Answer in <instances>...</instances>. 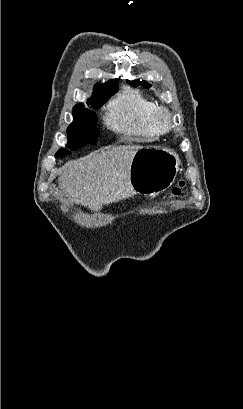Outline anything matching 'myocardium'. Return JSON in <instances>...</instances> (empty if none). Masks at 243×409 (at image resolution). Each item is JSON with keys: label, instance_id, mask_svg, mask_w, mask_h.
<instances>
[{"label": "myocardium", "instance_id": "f54148a6", "mask_svg": "<svg viewBox=\"0 0 243 409\" xmlns=\"http://www.w3.org/2000/svg\"><path fill=\"white\" fill-rule=\"evenodd\" d=\"M153 121L159 134L167 133L174 127L173 115L164 106H158L153 115Z\"/></svg>", "mask_w": 243, "mask_h": 409}]
</instances>
